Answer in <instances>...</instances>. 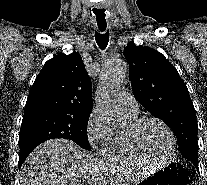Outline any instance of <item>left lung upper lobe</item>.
<instances>
[{"label":"left lung upper lobe","mask_w":207,"mask_h":185,"mask_svg":"<svg viewBox=\"0 0 207 185\" xmlns=\"http://www.w3.org/2000/svg\"><path fill=\"white\" fill-rule=\"evenodd\" d=\"M129 78L138 102L175 133L181 155L198 158V125L188 88L163 54L133 41L124 48Z\"/></svg>","instance_id":"5c2ea615"}]
</instances>
